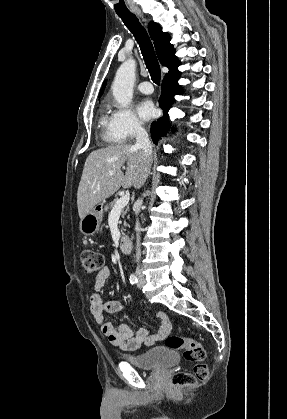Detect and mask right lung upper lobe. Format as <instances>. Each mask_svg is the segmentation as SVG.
Returning a JSON list of instances; mask_svg holds the SVG:
<instances>
[{"instance_id":"cb5924a9","label":"right lung upper lobe","mask_w":287,"mask_h":419,"mask_svg":"<svg viewBox=\"0 0 287 419\" xmlns=\"http://www.w3.org/2000/svg\"><path fill=\"white\" fill-rule=\"evenodd\" d=\"M148 31L150 33L151 39L154 41V46L156 53L158 55L159 61L168 67V73L179 72L177 67L179 65V60L175 56V50L172 44H170V36L166 32H162V28L155 22L151 21L148 25ZM105 87V83L103 88ZM103 88L100 90L99 95L103 93Z\"/></svg>"}]
</instances>
